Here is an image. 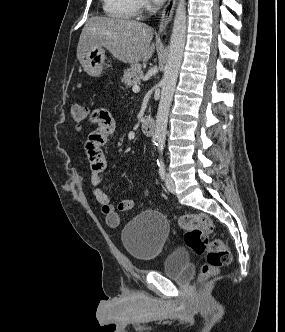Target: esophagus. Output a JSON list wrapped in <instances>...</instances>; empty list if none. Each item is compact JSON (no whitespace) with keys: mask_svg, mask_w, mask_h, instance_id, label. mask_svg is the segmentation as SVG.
I'll use <instances>...</instances> for the list:
<instances>
[{"mask_svg":"<svg viewBox=\"0 0 285 332\" xmlns=\"http://www.w3.org/2000/svg\"><path fill=\"white\" fill-rule=\"evenodd\" d=\"M175 4H176V0H168L167 4L165 5V7L162 11V15H161L160 23H159V31H158L159 34L165 33L167 26H168L169 22L171 21Z\"/></svg>","mask_w":285,"mask_h":332,"instance_id":"34e87169","label":"esophagus"}]
</instances>
